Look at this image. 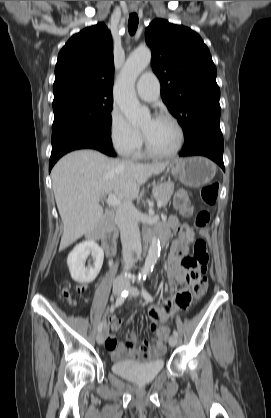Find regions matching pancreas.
I'll return each mask as SVG.
<instances>
[{"label": "pancreas", "instance_id": "1", "mask_svg": "<svg viewBox=\"0 0 271 418\" xmlns=\"http://www.w3.org/2000/svg\"><path fill=\"white\" fill-rule=\"evenodd\" d=\"M173 190V182H164L153 187V196L157 201H161L162 206L165 207L173 194Z\"/></svg>", "mask_w": 271, "mask_h": 418}]
</instances>
